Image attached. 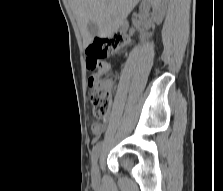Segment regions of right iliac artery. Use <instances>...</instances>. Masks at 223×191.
<instances>
[{"label": "right iliac artery", "instance_id": "82829eb1", "mask_svg": "<svg viewBox=\"0 0 223 191\" xmlns=\"http://www.w3.org/2000/svg\"><path fill=\"white\" fill-rule=\"evenodd\" d=\"M102 146V142H98L92 149V163H95L98 159V155Z\"/></svg>", "mask_w": 223, "mask_h": 191}]
</instances>
